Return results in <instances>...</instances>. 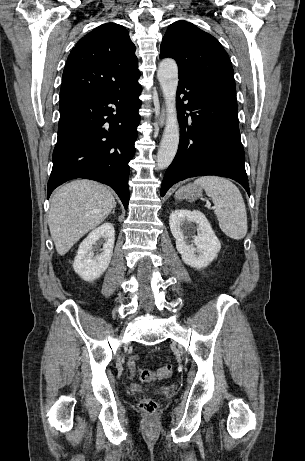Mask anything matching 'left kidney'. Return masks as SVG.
<instances>
[{
  "mask_svg": "<svg viewBox=\"0 0 305 461\" xmlns=\"http://www.w3.org/2000/svg\"><path fill=\"white\" fill-rule=\"evenodd\" d=\"M169 225L176 239V248L185 264L201 269L207 267L216 258L221 243L202 212L175 210L170 214ZM192 229L198 231L197 235L191 236ZM190 236L193 240L187 242L186 238Z\"/></svg>",
  "mask_w": 305,
  "mask_h": 461,
  "instance_id": "1",
  "label": "left kidney"
}]
</instances>
